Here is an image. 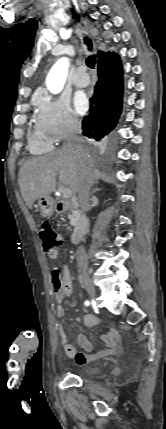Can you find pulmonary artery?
I'll list each match as a JSON object with an SVG mask.
<instances>
[{"mask_svg": "<svg viewBox=\"0 0 166 429\" xmlns=\"http://www.w3.org/2000/svg\"><path fill=\"white\" fill-rule=\"evenodd\" d=\"M72 81L73 84L79 88H84L89 85V78L86 74V69L84 66H81L76 70Z\"/></svg>", "mask_w": 166, "mask_h": 429, "instance_id": "obj_1", "label": "pulmonary artery"}]
</instances>
